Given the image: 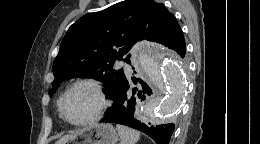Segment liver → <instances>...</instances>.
Segmentation results:
<instances>
[{
    "instance_id": "liver-1",
    "label": "liver",
    "mask_w": 260,
    "mask_h": 144,
    "mask_svg": "<svg viewBox=\"0 0 260 144\" xmlns=\"http://www.w3.org/2000/svg\"><path fill=\"white\" fill-rule=\"evenodd\" d=\"M77 133H79V131H77L75 134H77ZM71 138H72L71 135H64L55 144H66Z\"/></svg>"
}]
</instances>
